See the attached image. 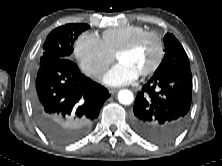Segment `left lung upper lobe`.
<instances>
[{
    "instance_id": "5c2ea615",
    "label": "left lung upper lobe",
    "mask_w": 222,
    "mask_h": 166,
    "mask_svg": "<svg viewBox=\"0 0 222 166\" xmlns=\"http://www.w3.org/2000/svg\"><path fill=\"white\" fill-rule=\"evenodd\" d=\"M165 55L154 74H162L173 69H190L188 56L174 35L164 36Z\"/></svg>"
}]
</instances>
